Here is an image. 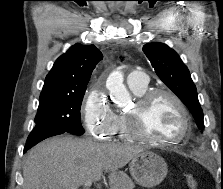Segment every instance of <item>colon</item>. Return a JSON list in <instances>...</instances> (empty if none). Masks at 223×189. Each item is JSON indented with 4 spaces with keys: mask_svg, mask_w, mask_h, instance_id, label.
Returning a JSON list of instances; mask_svg holds the SVG:
<instances>
[{
    "mask_svg": "<svg viewBox=\"0 0 223 189\" xmlns=\"http://www.w3.org/2000/svg\"><path fill=\"white\" fill-rule=\"evenodd\" d=\"M185 177H186V181H187L189 189H198V182L193 174L187 173Z\"/></svg>",
    "mask_w": 223,
    "mask_h": 189,
    "instance_id": "colon-1",
    "label": "colon"
}]
</instances>
